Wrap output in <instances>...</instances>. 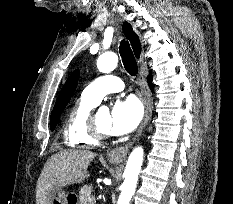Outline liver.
<instances>
[{
    "label": "liver",
    "mask_w": 233,
    "mask_h": 204,
    "mask_svg": "<svg viewBox=\"0 0 233 204\" xmlns=\"http://www.w3.org/2000/svg\"><path fill=\"white\" fill-rule=\"evenodd\" d=\"M96 154L88 150L68 149L51 156L37 181L36 204H49L53 193L87 178V168Z\"/></svg>",
    "instance_id": "obj_1"
}]
</instances>
